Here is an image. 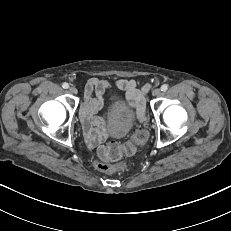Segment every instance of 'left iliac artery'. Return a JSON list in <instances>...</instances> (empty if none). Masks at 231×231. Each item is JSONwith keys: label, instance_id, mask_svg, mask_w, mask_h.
I'll use <instances>...</instances> for the list:
<instances>
[{"label": "left iliac artery", "instance_id": "obj_1", "mask_svg": "<svg viewBox=\"0 0 231 231\" xmlns=\"http://www.w3.org/2000/svg\"><path fill=\"white\" fill-rule=\"evenodd\" d=\"M167 89H168V86L166 84H163L161 86V91L165 92V91H167Z\"/></svg>", "mask_w": 231, "mask_h": 231}]
</instances>
